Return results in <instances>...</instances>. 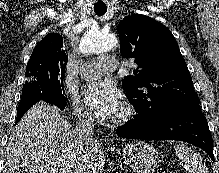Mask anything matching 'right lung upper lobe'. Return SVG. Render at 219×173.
<instances>
[{"mask_svg": "<svg viewBox=\"0 0 219 173\" xmlns=\"http://www.w3.org/2000/svg\"><path fill=\"white\" fill-rule=\"evenodd\" d=\"M62 47L63 37L50 33L35 46L29 62H39L44 65L56 64L65 69L67 56Z\"/></svg>", "mask_w": 219, "mask_h": 173, "instance_id": "1", "label": "right lung upper lobe"}]
</instances>
